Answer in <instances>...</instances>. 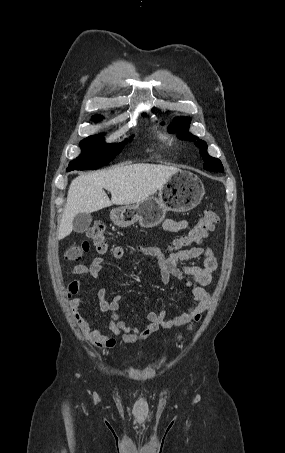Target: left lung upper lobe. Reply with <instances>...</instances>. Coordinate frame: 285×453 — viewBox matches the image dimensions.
I'll return each mask as SVG.
<instances>
[{"label":"left lung upper lobe","mask_w":285,"mask_h":453,"mask_svg":"<svg viewBox=\"0 0 285 453\" xmlns=\"http://www.w3.org/2000/svg\"><path fill=\"white\" fill-rule=\"evenodd\" d=\"M189 124H190L189 118L185 117L176 118L174 119L172 125L168 127V131L170 133L177 132L178 133L177 137L180 139L194 141L198 139V137L193 136L192 134L187 132ZM195 144L198 148H200V154L203 156L204 169L214 172L224 171L221 161L217 158H213L208 155L206 142L199 140L195 142Z\"/></svg>","instance_id":"1"}]
</instances>
